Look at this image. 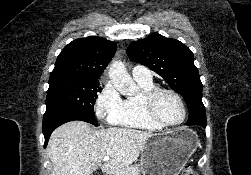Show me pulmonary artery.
<instances>
[{"label":"pulmonary artery","mask_w":251,"mask_h":175,"mask_svg":"<svg viewBox=\"0 0 251 175\" xmlns=\"http://www.w3.org/2000/svg\"><path fill=\"white\" fill-rule=\"evenodd\" d=\"M132 76L137 82L151 83L153 81L152 73L145 67H134Z\"/></svg>","instance_id":"obj_1"}]
</instances>
